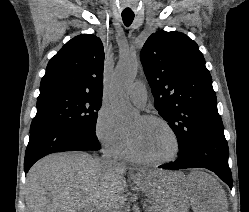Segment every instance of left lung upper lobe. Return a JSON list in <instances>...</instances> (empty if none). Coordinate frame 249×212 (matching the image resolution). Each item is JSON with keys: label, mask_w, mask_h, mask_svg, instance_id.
Here are the masks:
<instances>
[{"label": "left lung upper lobe", "mask_w": 249, "mask_h": 212, "mask_svg": "<svg viewBox=\"0 0 249 212\" xmlns=\"http://www.w3.org/2000/svg\"><path fill=\"white\" fill-rule=\"evenodd\" d=\"M140 58L155 108L176 134L179 152L197 136L223 131L212 78L193 40L181 32L158 31Z\"/></svg>", "instance_id": "5c2ea615"}]
</instances>
